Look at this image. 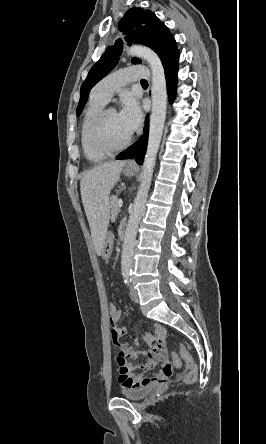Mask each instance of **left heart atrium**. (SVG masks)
<instances>
[{
    "instance_id": "1",
    "label": "left heart atrium",
    "mask_w": 266,
    "mask_h": 444,
    "mask_svg": "<svg viewBox=\"0 0 266 444\" xmlns=\"http://www.w3.org/2000/svg\"><path fill=\"white\" fill-rule=\"evenodd\" d=\"M119 116L130 133L135 131L142 121L141 110L138 104L132 99L124 101Z\"/></svg>"
}]
</instances>
